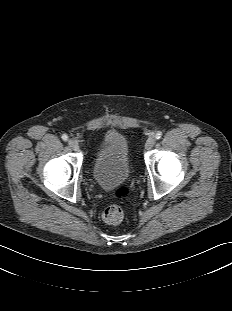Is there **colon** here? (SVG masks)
<instances>
[{"label":"colon","mask_w":232,"mask_h":311,"mask_svg":"<svg viewBox=\"0 0 232 311\" xmlns=\"http://www.w3.org/2000/svg\"><path fill=\"white\" fill-rule=\"evenodd\" d=\"M128 194L129 188L127 186H122L113 193V197L116 199H121L125 198ZM102 219L111 225L118 224L123 219V210L116 204L109 205L102 212Z\"/></svg>","instance_id":"1"}]
</instances>
